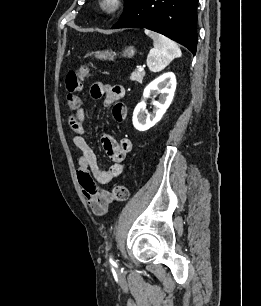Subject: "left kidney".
Instances as JSON below:
<instances>
[{
	"mask_svg": "<svg viewBox=\"0 0 261 306\" xmlns=\"http://www.w3.org/2000/svg\"><path fill=\"white\" fill-rule=\"evenodd\" d=\"M176 89V77L174 73L168 72L147 85L143 92V100L134 109L133 112V126L138 131H146L159 122L166 110L170 106L174 92ZM160 94L159 100L154 101V109L151 114H146L145 100L151 94Z\"/></svg>",
	"mask_w": 261,
	"mask_h": 306,
	"instance_id": "left-kidney-1",
	"label": "left kidney"
}]
</instances>
